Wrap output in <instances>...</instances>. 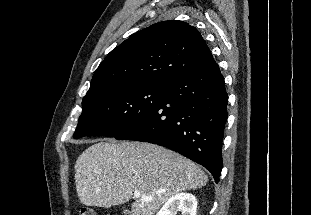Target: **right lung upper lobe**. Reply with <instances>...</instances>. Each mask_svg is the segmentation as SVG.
Masks as SVG:
<instances>
[{"mask_svg":"<svg viewBox=\"0 0 311 215\" xmlns=\"http://www.w3.org/2000/svg\"><path fill=\"white\" fill-rule=\"evenodd\" d=\"M199 31L179 20L163 21L132 34L95 71L86 96L134 85H163L214 63Z\"/></svg>","mask_w":311,"mask_h":215,"instance_id":"right-lung-upper-lobe-1","label":"right lung upper lobe"}]
</instances>
